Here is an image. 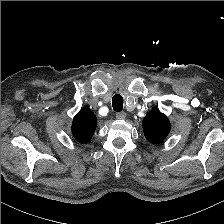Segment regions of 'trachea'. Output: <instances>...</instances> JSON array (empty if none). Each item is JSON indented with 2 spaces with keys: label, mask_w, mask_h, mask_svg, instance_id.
Wrapping results in <instances>:
<instances>
[{
  "label": "trachea",
  "mask_w": 224,
  "mask_h": 224,
  "mask_svg": "<svg viewBox=\"0 0 224 224\" xmlns=\"http://www.w3.org/2000/svg\"><path fill=\"white\" fill-rule=\"evenodd\" d=\"M112 106L114 111L120 112L123 109V97L120 94H116L112 98Z\"/></svg>",
  "instance_id": "obj_1"
}]
</instances>
